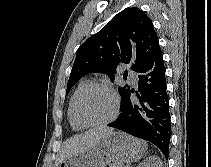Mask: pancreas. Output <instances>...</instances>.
<instances>
[{
    "mask_svg": "<svg viewBox=\"0 0 211 167\" xmlns=\"http://www.w3.org/2000/svg\"><path fill=\"white\" fill-rule=\"evenodd\" d=\"M109 167H125V166H123V165H118V164H112V165H110Z\"/></svg>",
    "mask_w": 211,
    "mask_h": 167,
    "instance_id": "obj_1",
    "label": "pancreas"
}]
</instances>
